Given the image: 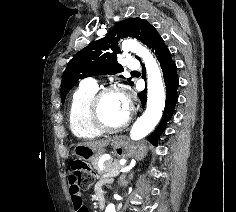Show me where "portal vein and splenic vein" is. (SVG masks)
<instances>
[{
    "instance_id": "obj_1",
    "label": "portal vein and splenic vein",
    "mask_w": 236,
    "mask_h": 212,
    "mask_svg": "<svg viewBox=\"0 0 236 212\" xmlns=\"http://www.w3.org/2000/svg\"><path fill=\"white\" fill-rule=\"evenodd\" d=\"M120 173V169L112 171L110 174H107L106 177L109 176H117Z\"/></svg>"
}]
</instances>
